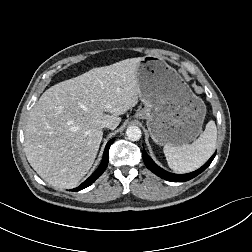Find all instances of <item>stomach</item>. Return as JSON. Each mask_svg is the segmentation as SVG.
Wrapping results in <instances>:
<instances>
[{
  "label": "stomach",
  "instance_id": "1",
  "mask_svg": "<svg viewBox=\"0 0 252 252\" xmlns=\"http://www.w3.org/2000/svg\"><path fill=\"white\" fill-rule=\"evenodd\" d=\"M137 80L144 108L135 118L146 120L156 144L181 146L198 137L206 106L174 68L163 58L148 55L137 66Z\"/></svg>",
  "mask_w": 252,
  "mask_h": 252
}]
</instances>
